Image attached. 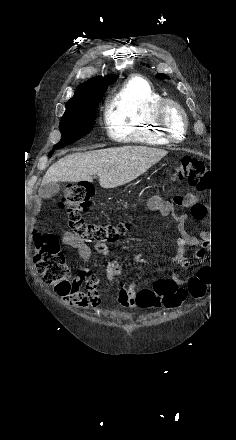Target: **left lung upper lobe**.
Segmentation results:
<instances>
[{"instance_id": "5c2ea615", "label": "left lung upper lobe", "mask_w": 236, "mask_h": 440, "mask_svg": "<svg viewBox=\"0 0 236 440\" xmlns=\"http://www.w3.org/2000/svg\"><path fill=\"white\" fill-rule=\"evenodd\" d=\"M147 67H150L149 65H147ZM157 77L158 78H160V79H164V78H167V76L165 75V74H157Z\"/></svg>"}]
</instances>
